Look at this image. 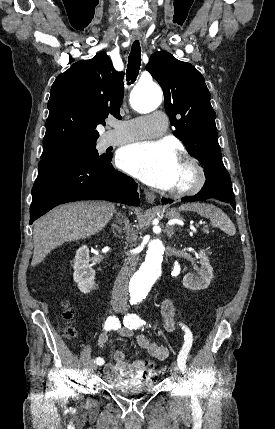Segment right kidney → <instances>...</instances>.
<instances>
[{
  "label": "right kidney",
  "mask_w": 275,
  "mask_h": 429,
  "mask_svg": "<svg viewBox=\"0 0 275 429\" xmlns=\"http://www.w3.org/2000/svg\"><path fill=\"white\" fill-rule=\"evenodd\" d=\"M89 261V248L83 245L75 255L73 279L84 294L89 293L95 285V271L90 267Z\"/></svg>",
  "instance_id": "right-kidney-1"
}]
</instances>
